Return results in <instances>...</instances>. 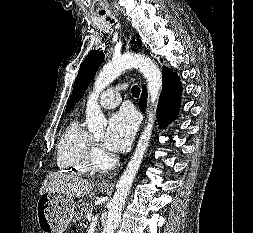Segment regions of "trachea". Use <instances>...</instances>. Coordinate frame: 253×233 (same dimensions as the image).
Returning <instances> with one entry per match:
<instances>
[{
    "label": "trachea",
    "instance_id": "3493384b",
    "mask_svg": "<svg viewBox=\"0 0 253 233\" xmlns=\"http://www.w3.org/2000/svg\"><path fill=\"white\" fill-rule=\"evenodd\" d=\"M103 14H104V13H102V15H103ZM107 20H110V18H107ZM110 22L112 23V22H113V19L110 20ZM139 94H140V88H139L137 85L133 86V87H132V95H133V96H139Z\"/></svg>",
    "mask_w": 253,
    "mask_h": 233
}]
</instances>
